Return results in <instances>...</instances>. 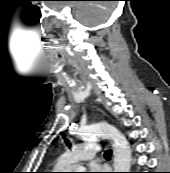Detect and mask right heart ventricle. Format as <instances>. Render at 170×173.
<instances>
[{
    "label": "right heart ventricle",
    "mask_w": 170,
    "mask_h": 173,
    "mask_svg": "<svg viewBox=\"0 0 170 173\" xmlns=\"http://www.w3.org/2000/svg\"><path fill=\"white\" fill-rule=\"evenodd\" d=\"M65 165H66L65 161L62 158H59L57 165H56V168L61 169V168L65 167Z\"/></svg>",
    "instance_id": "e07e8e85"
}]
</instances>
